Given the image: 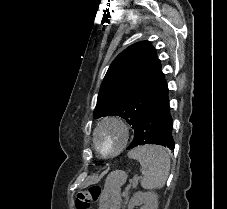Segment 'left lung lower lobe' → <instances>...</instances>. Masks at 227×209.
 Listing matches in <instances>:
<instances>
[{"mask_svg": "<svg viewBox=\"0 0 227 209\" xmlns=\"http://www.w3.org/2000/svg\"><path fill=\"white\" fill-rule=\"evenodd\" d=\"M172 123L167 87L144 111L135 129L134 139L127 149L157 144L173 150Z\"/></svg>", "mask_w": 227, "mask_h": 209, "instance_id": "0a47b994", "label": "left lung lower lobe"}]
</instances>
